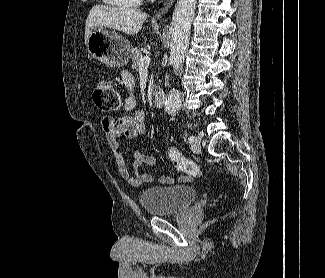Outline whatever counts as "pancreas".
<instances>
[{"label":"pancreas","instance_id":"cf45deb5","mask_svg":"<svg viewBox=\"0 0 325 278\" xmlns=\"http://www.w3.org/2000/svg\"><path fill=\"white\" fill-rule=\"evenodd\" d=\"M142 57H143V54L137 47L131 49L130 58H131L132 68L135 71L139 70L140 60Z\"/></svg>","mask_w":325,"mask_h":278}]
</instances>
